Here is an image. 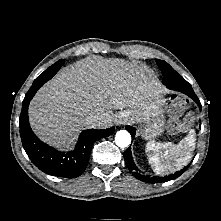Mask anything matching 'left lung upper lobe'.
Masks as SVG:
<instances>
[{
    "label": "left lung upper lobe",
    "mask_w": 221,
    "mask_h": 221,
    "mask_svg": "<svg viewBox=\"0 0 221 221\" xmlns=\"http://www.w3.org/2000/svg\"><path fill=\"white\" fill-rule=\"evenodd\" d=\"M156 62L163 74V84H173L182 78L167 62L159 59Z\"/></svg>",
    "instance_id": "left-lung-upper-lobe-1"
}]
</instances>
